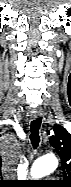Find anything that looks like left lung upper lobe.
I'll list each match as a JSON object with an SVG mask.
<instances>
[{
  "mask_svg": "<svg viewBox=\"0 0 71 187\" xmlns=\"http://www.w3.org/2000/svg\"><path fill=\"white\" fill-rule=\"evenodd\" d=\"M53 131L50 143L62 161L64 180L61 183L68 186L71 182V134L61 125H55Z\"/></svg>",
  "mask_w": 71,
  "mask_h": 187,
  "instance_id": "left-lung-upper-lobe-1",
  "label": "left lung upper lobe"
}]
</instances>
